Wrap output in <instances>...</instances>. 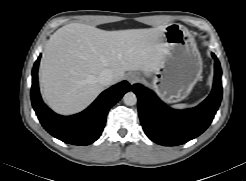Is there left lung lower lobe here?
<instances>
[{"label":"left lung lower lobe","instance_id":"1","mask_svg":"<svg viewBox=\"0 0 246 181\" xmlns=\"http://www.w3.org/2000/svg\"><path fill=\"white\" fill-rule=\"evenodd\" d=\"M215 60L214 84L210 95L197 107L173 110L165 105L156 94L140 84L132 90L138 97V112L146 135L157 144L177 146L202 134L211 124L222 99L221 67Z\"/></svg>","mask_w":246,"mask_h":181}]
</instances>
